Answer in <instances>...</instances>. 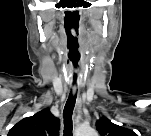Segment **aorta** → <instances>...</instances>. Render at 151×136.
Wrapping results in <instances>:
<instances>
[{
  "instance_id": "1",
  "label": "aorta",
  "mask_w": 151,
  "mask_h": 136,
  "mask_svg": "<svg viewBox=\"0 0 151 136\" xmlns=\"http://www.w3.org/2000/svg\"><path fill=\"white\" fill-rule=\"evenodd\" d=\"M91 135L95 136V135H96V133H95V132H91Z\"/></svg>"
}]
</instances>
